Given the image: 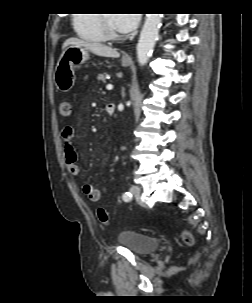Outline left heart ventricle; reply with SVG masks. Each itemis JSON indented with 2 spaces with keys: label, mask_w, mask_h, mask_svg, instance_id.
<instances>
[{
  "label": "left heart ventricle",
  "mask_w": 252,
  "mask_h": 303,
  "mask_svg": "<svg viewBox=\"0 0 252 303\" xmlns=\"http://www.w3.org/2000/svg\"><path fill=\"white\" fill-rule=\"evenodd\" d=\"M107 15H110V16H108V19H109V23H110L111 27H112L115 31L119 32L118 28L116 27V25H115V23H114L113 16H112L113 14H107Z\"/></svg>",
  "instance_id": "b2bd125f"
}]
</instances>
